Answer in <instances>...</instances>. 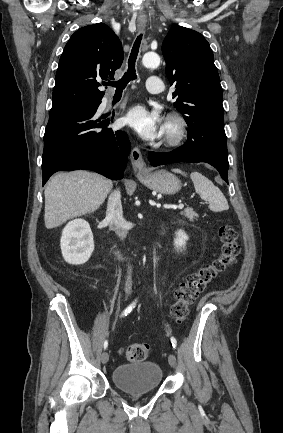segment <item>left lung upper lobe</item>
I'll use <instances>...</instances> for the list:
<instances>
[{
	"mask_svg": "<svg viewBox=\"0 0 283 433\" xmlns=\"http://www.w3.org/2000/svg\"><path fill=\"white\" fill-rule=\"evenodd\" d=\"M162 53L170 85L176 83L174 107L188 126L224 128L220 78L206 39L194 30L173 26L163 41Z\"/></svg>",
	"mask_w": 283,
	"mask_h": 433,
	"instance_id": "obj_1",
	"label": "left lung upper lobe"
}]
</instances>
